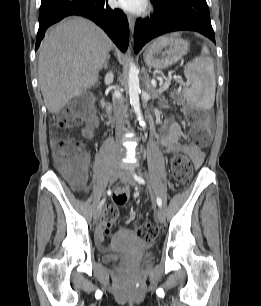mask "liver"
<instances>
[{
    "mask_svg": "<svg viewBox=\"0 0 261 306\" xmlns=\"http://www.w3.org/2000/svg\"><path fill=\"white\" fill-rule=\"evenodd\" d=\"M112 47L104 31L87 19L73 17L54 26L41 44L38 63L47 110L57 113L91 88Z\"/></svg>",
    "mask_w": 261,
    "mask_h": 306,
    "instance_id": "6515ba94",
    "label": "liver"
}]
</instances>
